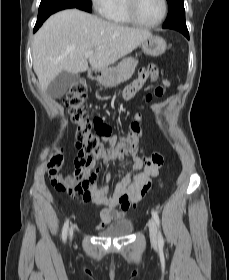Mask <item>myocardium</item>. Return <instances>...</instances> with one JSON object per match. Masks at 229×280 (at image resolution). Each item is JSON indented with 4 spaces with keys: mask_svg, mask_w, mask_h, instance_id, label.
<instances>
[{
    "mask_svg": "<svg viewBox=\"0 0 229 280\" xmlns=\"http://www.w3.org/2000/svg\"><path fill=\"white\" fill-rule=\"evenodd\" d=\"M125 1V9L127 15L132 23L141 27H156L160 25L166 18L168 12V3L167 0H161L162 2V13L161 16L154 22H145L139 19L135 11V2L136 0H124Z\"/></svg>",
    "mask_w": 229,
    "mask_h": 280,
    "instance_id": "myocardium-1",
    "label": "myocardium"
}]
</instances>
